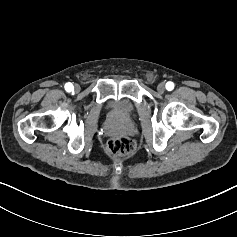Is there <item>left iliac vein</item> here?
I'll return each mask as SVG.
<instances>
[{"label": "left iliac vein", "instance_id": "4c4485c4", "mask_svg": "<svg viewBox=\"0 0 237 237\" xmlns=\"http://www.w3.org/2000/svg\"><path fill=\"white\" fill-rule=\"evenodd\" d=\"M157 91L159 93H163L165 91V84L164 83H159L157 86Z\"/></svg>", "mask_w": 237, "mask_h": 237}]
</instances>
